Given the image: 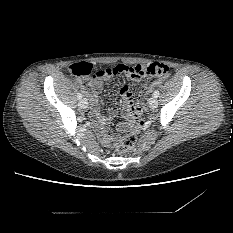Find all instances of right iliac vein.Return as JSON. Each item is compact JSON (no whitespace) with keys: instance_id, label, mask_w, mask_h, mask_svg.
<instances>
[{"instance_id":"obj_1","label":"right iliac vein","mask_w":233,"mask_h":233,"mask_svg":"<svg viewBox=\"0 0 233 233\" xmlns=\"http://www.w3.org/2000/svg\"><path fill=\"white\" fill-rule=\"evenodd\" d=\"M79 107L81 109H86L87 106H88V102H87V99L86 98H82L80 101H79Z\"/></svg>"}]
</instances>
